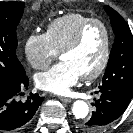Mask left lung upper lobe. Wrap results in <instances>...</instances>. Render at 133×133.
Instances as JSON below:
<instances>
[{
	"instance_id": "obj_1",
	"label": "left lung upper lobe",
	"mask_w": 133,
	"mask_h": 133,
	"mask_svg": "<svg viewBox=\"0 0 133 133\" xmlns=\"http://www.w3.org/2000/svg\"><path fill=\"white\" fill-rule=\"evenodd\" d=\"M110 16L115 41L110 53L100 90L115 91L133 97V36L122 16L109 6H104Z\"/></svg>"
}]
</instances>
